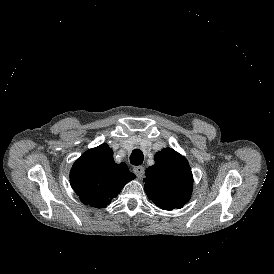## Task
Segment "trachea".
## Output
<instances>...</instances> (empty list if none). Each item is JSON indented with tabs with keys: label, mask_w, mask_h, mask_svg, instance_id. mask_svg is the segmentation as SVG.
<instances>
[{
	"label": "trachea",
	"mask_w": 274,
	"mask_h": 274,
	"mask_svg": "<svg viewBox=\"0 0 274 274\" xmlns=\"http://www.w3.org/2000/svg\"><path fill=\"white\" fill-rule=\"evenodd\" d=\"M143 153L139 149H135L132 151V154L130 156V163L132 165H141L143 163Z\"/></svg>",
	"instance_id": "1"
}]
</instances>
